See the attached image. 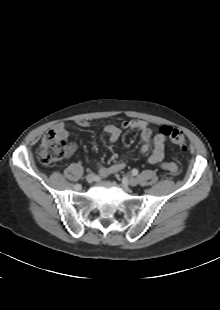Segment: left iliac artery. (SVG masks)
Segmentation results:
<instances>
[{"mask_svg":"<svg viewBox=\"0 0 220 310\" xmlns=\"http://www.w3.org/2000/svg\"><path fill=\"white\" fill-rule=\"evenodd\" d=\"M132 174L135 176V175H137L138 174V170L137 169H133L132 170Z\"/></svg>","mask_w":220,"mask_h":310,"instance_id":"obj_1","label":"left iliac artery"}]
</instances>
